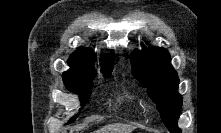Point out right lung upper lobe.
I'll return each instance as SVG.
<instances>
[{
  "label": "right lung upper lobe",
  "instance_id": "1",
  "mask_svg": "<svg viewBox=\"0 0 221 133\" xmlns=\"http://www.w3.org/2000/svg\"><path fill=\"white\" fill-rule=\"evenodd\" d=\"M107 57L108 62L112 64L114 61V54L108 55ZM94 60L95 54L90 49H78L70 56L68 60L70 70L65 72L63 76H69L92 69Z\"/></svg>",
  "mask_w": 221,
  "mask_h": 133
}]
</instances>
